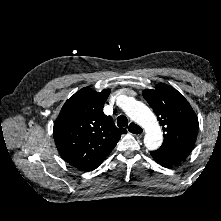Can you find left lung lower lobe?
I'll return each instance as SVG.
<instances>
[{
	"instance_id": "0a47b994",
	"label": "left lung lower lobe",
	"mask_w": 221,
	"mask_h": 221,
	"mask_svg": "<svg viewBox=\"0 0 221 221\" xmlns=\"http://www.w3.org/2000/svg\"><path fill=\"white\" fill-rule=\"evenodd\" d=\"M192 144L151 151L154 160L164 167H172L185 160L193 149Z\"/></svg>"
}]
</instances>
